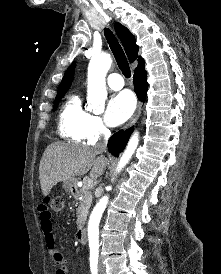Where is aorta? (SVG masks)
I'll use <instances>...</instances> for the list:
<instances>
[{
    "label": "aorta",
    "mask_w": 221,
    "mask_h": 274,
    "mask_svg": "<svg viewBox=\"0 0 221 274\" xmlns=\"http://www.w3.org/2000/svg\"><path fill=\"white\" fill-rule=\"evenodd\" d=\"M109 55L92 58L88 66L87 103L90 109L98 112L104 108L106 98V74L111 66ZM139 142V134L135 132L118 163V172L129 162ZM111 188V187H109ZM108 203V196H103L94 207L88 223V241L92 254L99 250V222Z\"/></svg>",
    "instance_id": "aorta-1"
}]
</instances>
